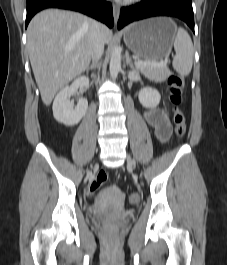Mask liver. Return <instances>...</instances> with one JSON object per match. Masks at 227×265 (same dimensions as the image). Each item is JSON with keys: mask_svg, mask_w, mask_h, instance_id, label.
Returning <instances> with one entry per match:
<instances>
[{"mask_svg": "<svg viewBox=\"0 0 227 265\" xmlns=\"http://www.w3.org/2000/svg\"><path fill=\"white\" fill-rule=\"evenodd\" d=\"M93 20L80 13L44 10L27 29V50L43 103L51 104L56 93L82 74L91 60ZM104 43L112 37L101 24Z\"/></svg>", "mask_w": 227, "mask_h": 265, "instance_id": "obj_1", "label": "liver"}]
</instances>
